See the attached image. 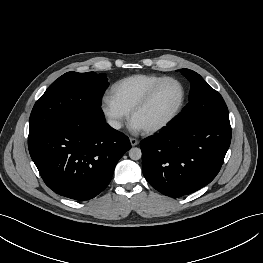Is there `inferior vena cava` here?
I'll use <instances>...</instances> for the list:
<instances>
[{
	"label": "inferior vena cava",
	"mask_w": 263,
	"mask_h": 263,
	"mask_svg": "<svg viewBox=\"0 0 263 263\" xmlns=\"http://www.w3.org/2000/svg\"><path fill=\"white\" fill-rule=\"evenodd\" d=\"M108 124L114 129H120L121 128V123L117 120L110 119V120H108Z\"/></svg>",
	"instance_id": "obj_1"
}]
</instances>
